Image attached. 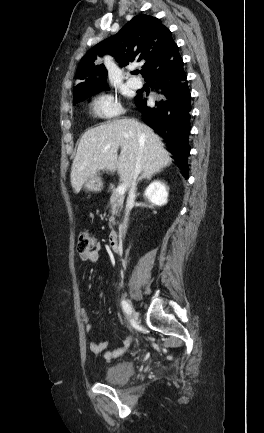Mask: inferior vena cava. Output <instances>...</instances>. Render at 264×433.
Listing matches in <instances>:
<instances>
[{
	"mask_svg": "<svg viewBox=\"0 0 264 433\" xmlns=\"http://www.w3.org/2000/svg\"><path fill=\"white\" fill-rule=\"evenodd\" d=\"M141 171H142L141 156H139L137 159L136 165H135L134 172H133L132 177H131V181H130L129 195H128L127 204H126V212H123V215H125L124 228L126 227L127 222H128L129 212L131 210V204L135 199L136 186H137L136 181H137L138 175L141 173ZM122 233H125V230H122Z\"/></svg>",
	"mask_w": 264,
	"mask_h": 433,
	"instance_id": "1",
	"label": "inferior vena cava"
}]
</instances>
